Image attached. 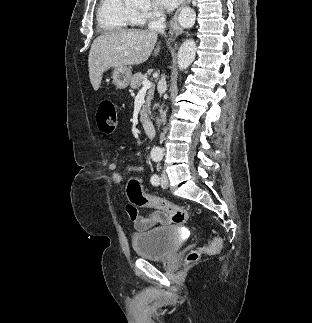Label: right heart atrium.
Instances as JSON below:
<instances>
[{
	"instance_id": "d8ad5b80",
	"label": "right heart atrium",
	"mask_w": 312,
	"mask_h": 323,
	"mask_svg": "<svg viewBox=\"0 0 312 323\" xmlns=\"http://www.w3.org/2000/svg\"><path fill=\"white\" fill-rule=\"evenodd\" d=\"M149 17H166V10H149Z\"/></svg>"
}]
</instances>
